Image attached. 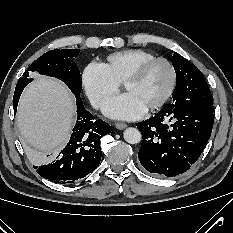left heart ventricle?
Returning a JSON list of instances; mask_svg holds the SVG:
<instances>
[{"label": "left heart ventricle", "instance_id": "b2bd125f", "mask_svg": "<svg viewBox=\"0 0 233 233\" xmlns=\"http://www.w3.org/2000/svg\"><path fill=\"white\" fill-rule=\"evenodd\" d=\"M169 81L168 67L163 63H156L139 80L129 83L125 90L148 108L164 95Z\"/></svg>", "mask_w": 233, "mask_h": 233}]
</instances>
